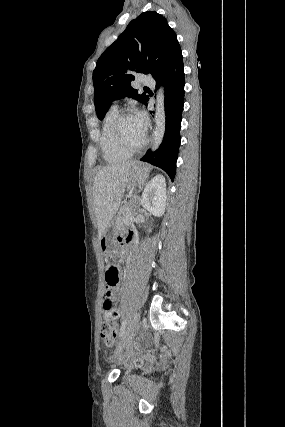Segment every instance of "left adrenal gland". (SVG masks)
<instances>
[{
	"instance_id": "left-adrenal-gland-1",
	"label": "left adrenal gland",
	"mask_w": 285,
	"mask_h": 427,
	"mask_svg": "<svg viewBox=\"0 0 285 427\" xmlns=\"http://www.w3.org/2000/svg\"><path fill=\"white\" fill-rule=\"evenodd\" d=\"M137 199V200H139V197L137 196V195H135L134 197H133V199Z\"/></svg>"
}]
</instances>
